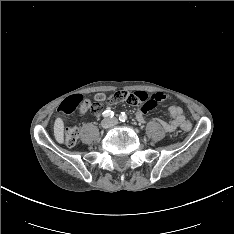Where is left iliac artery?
Returning a JSON list of instances; mask_svg holds the SVG:
<instances>
[{
	"instance_id": "left-iliac-artery-1",
	"label": "left iliac artery",
	"mask_w": 234,
	"mask_h": 234,
	"mask_svg": "<svg viewBox=\"0 0 234 234\" xmlns=\"http://www.w3.org/2000/svg\"><path fill=\"white\" fill-rule=\"evenodd\" d=\"M119 120L121 122H125L127 120V115L124 112H122L119 116Z\"/></svg>"
}]
</instances>
